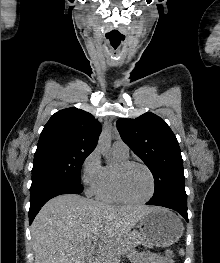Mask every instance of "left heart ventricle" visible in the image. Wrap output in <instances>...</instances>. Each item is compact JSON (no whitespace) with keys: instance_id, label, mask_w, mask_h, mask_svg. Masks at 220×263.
I'll return each mask as SVG.
<instances>
[{"instance_id":"left-heart-ventricle-1","label":"left heart ventricle","mask_w":220,"mask_h":263,"mask_svg":"<svg viewBox=\"0 0 220 263\" xmlns=\"http://www.w3.org/2000/svg\"><path fill=\"white\" fill-rule=\"evenodd\" d=\"M121 185L124 194L132 200L147 197L151 190L148 173L140 166H132L123 171Z\"/></svg>"}]
</instances>
